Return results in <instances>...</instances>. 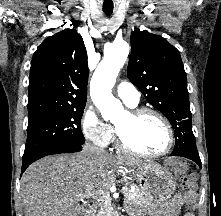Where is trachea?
<instances>
[{
	"label": "trachea",
	"mask_w": 221,
	"mask_h": 216,
	"mask_svg": "<svg viewBox=\"0 0 221 216\" xmlns=\"http://www.w3.org/2000/svg\"><path fill=\"white\" fill-rule=\"evenodd\" d=\"M113 11H107V10H104V13L107 15V16H110L112 14Z\"/></svg>",
	"instance_id": "obj_1"
}]
</instances>
